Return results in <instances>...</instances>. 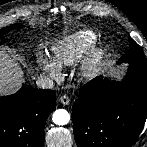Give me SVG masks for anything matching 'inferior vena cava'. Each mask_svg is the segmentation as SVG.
<instances>
[{"mask_svg":"<svg viewBox=\"0 0 147 147\" xmlns=\"http://www.w3.org/2000/svg\"><path fill=\"white\" fill-rule=\"evenodd\" d=\"M36 85L42 89H52L54 87V82L49 77L40 75L37 78Z\"/></svg>","mask_w":147,"mask_h":147,"instance_id":"1","label":"inferior vena cava"}]
</instances>
